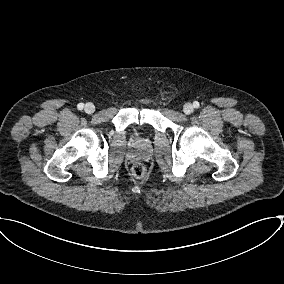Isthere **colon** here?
<instances>
[{"instance_id":"colon-1","label":"colon","mask_w":284,"mask_h":284,"mask_svg":"<svg viewBox=\"0 0 284 284\" xmlns=\"http://www.w3.org/2000/svg\"><path fill=\"white\" fill-rule=\"evenodd\" d=\"M132 173L137 178H144L146 176L147 169L142 163H136L132 167Z\"/></svg>"}]
</instances>
